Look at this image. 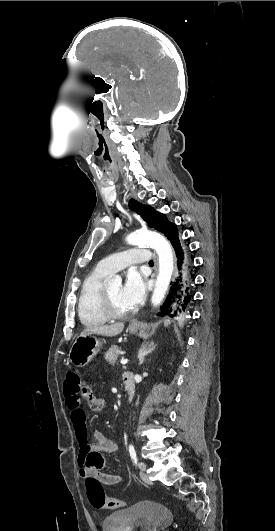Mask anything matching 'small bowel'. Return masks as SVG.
Instances as JSON below:
<instances>
[{
  "mask_svg": "<svg viewBox=\"0 0 275 531\" xmlns=\"http://www.w3.org/2000/svg\"><path fill=\"white\" fill-rule=\"evenodd\" d=\"M67 381L64 383V392L66 405L70 410V422L75 437L79 443L83 438L86 443L81 445L77 454V463L79 466L78 474L85 478L87 472H94L96 478L105 486H113L123 482V478L116 474H110L104 471L105 459L104 454H111L117 451V444L107 438L102 432L95 430L92 432L91 442L87 443L88 428L87 417L84 409L80 406L78 394L81 392L79 383L80 376L76 369L70 367L66 371Z\"/></svg>",
  "mask_w": 275,
  "mask_h": 531,
  "instance_id": "obj_1",
  "label": "small bowel"
}]
</instances>
